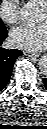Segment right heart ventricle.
Returning <instances> with one entry per match:
<instances>
[{
	"instance_id": "obj_1",
	"label": "right heart ventricle",
	"mask_w": 47,
	"mask_h": 129,
	"mask_svg": "<svg viewBox=\"0 0 47 129\" xmlns=\"http://www.w3.org/2000/svg\"><path fill=\"white\" fill-rule=\"evenodd\" d=\"M31 2H45V0H29Z\"/></svg>"
}]
</instances>
